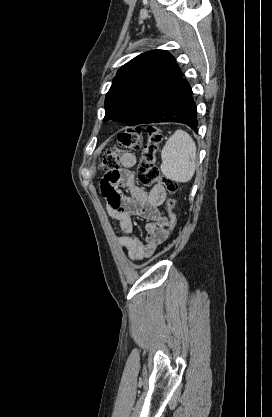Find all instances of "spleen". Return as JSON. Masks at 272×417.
<instances>
[{
	"mask_svg": "<svg viewBox=\"0 0 272 417\" xmlns=\"http://www.w3.org/2000/svg\"><path fill=\"white\" fill-rule=\"evenodd\" d=\"M196 144L185 131L178 129L167 140L161 152V171L170 180L185 183L196 168Z\"/></svg>",
	"mask_w": 272,
	"mask_h": 417,
	"instance_id": "3e777b00",
	"label": "spleen"
}]
</instances>
